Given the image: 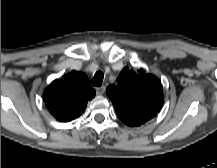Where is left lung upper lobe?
Listing matches in <instances>:
<instances>
[{"label":"left lung upper lobe","mask_w":217,"mask_h":168,"mask_svg":"<svg viewBox=\"0 0 217 168\" xmlns=\"http://www.w3.org/2000/svg\"><path fill=\"white\" fill-rule=\"evenodd\" d=\"M107 95L119 119L130 127L140 126L155 117L163 103L160 81L143 69L135 72L125 67L117 84L107 87Z\"/></svg>","instance_id":"left-lung-upper-lobe-1"}]
</instances>
